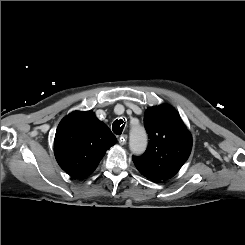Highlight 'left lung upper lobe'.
<instances>
[{"label": "left lung upper lobe", "instance_id": "1", "mask_svg": "<svg viewBox=\"0 0 245 245\" xmlns=\"http://www.w3.org/2000/svg\"><path fill=\"white\" fill-rule=\"evenodd\" d=\"M150 142L146 152L133 157L142 175L156 182L172 178L189 158L192 136L178 112L167 104L151 107L144 114Z\"/></svg>", "mask_w": 245, "mask_h": 245}]
</instances>
